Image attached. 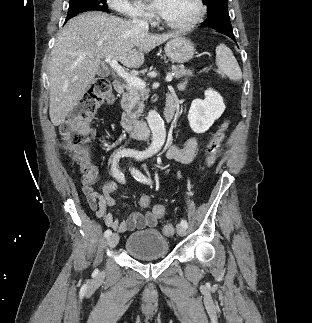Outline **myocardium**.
<instances>
[{"instance_id":"obj_1","label":"myocardium","mask_w":312,"mask_h":323,"mask_svg":"<svg viewBox=\"0 0 312 323\" xmlns=\"http://www.w3.org/2000/svg\"><path fill=\"white\" fill-rule=\"evenodd\" d=\"M206 0H193L196 6H199L195 12L196 21H206V13L210 11V4L205 3ZM194 18H186L185 20H174L173 18H160V25H171V27H190L195 24Z\"/></svg>"}]
</instances>
